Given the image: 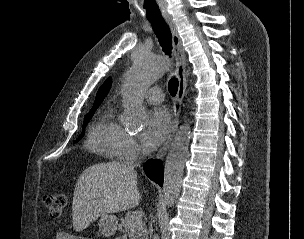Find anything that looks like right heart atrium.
Returning a JSON list of instances; mask_svg holds the SVG:
<instances>
[{
  "label": "right heart atrium",
  "instance_id": "d8ad5b80",
  "mask_svg": "<svg viewBox=\"0 0 304 239\" xmlns=\"http://www.w3.org/2000/svg\"><path fill=\"white\" fill-rule=\"evenodd\" d=\"M118 152L119 156L126 160H130L137 156L140 152V146L136 137L124 132L119 142Z\"/></svg>",
  "mask_w": 304,
  "mask_h": 239
}]
</instances>
